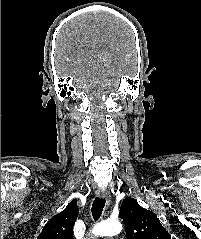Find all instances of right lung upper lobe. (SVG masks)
<instances>
[{"instance_id":"cb5924a9","label":"right lung upper lobe","mask_w":201,"mask_h":239,"mask_svg":"<svg viewBox=\"0 0 201 239\" xmlns=\"http://www.w3.org/2000/svg\"><path fill=\"white\" fill-rule=\"evenodd\" d=\"M78 213L77 201L72 200L62 212L48 221L37 239H73V225Z\"/></svg>"}]
</instances>
